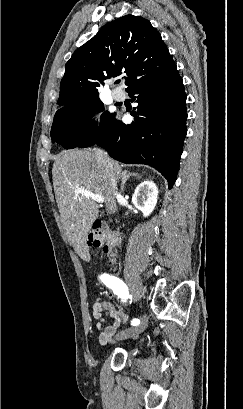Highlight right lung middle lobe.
<instances>
[{
	"mask_svg": "<svg viewBox=\"0 0 243 409\" xmlns=\"http://www.w3.org/2000/svg\"><path fill=\"white\" fill-rule=\"evenodd\" d=\"M104 106L99 97H94L59 109L51 128L52 142H57L65 149L77 147L85 138L95 135L112 119V115L104 112L99 127L92 120L95 111H103Z\"/></svg>",
	"mask_w": 243,
	"mask_h": 409,
	"instance_id": "dd1d6c3e",
	"label": "right lung middle lobe"
}]
</instances>
